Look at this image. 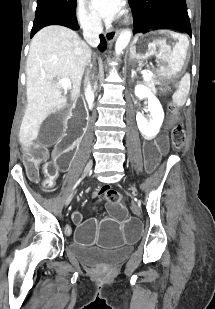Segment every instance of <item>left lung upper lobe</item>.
<instances>
[{
    "instance_id": "5c2ea615",
    "label": "left lung upper lobe",
    "mask_w": 215,
    "mask_h": 309,
    "mask_svg": "<svg viewBox=\"0 0 215 309\" xmlns=\"http://www.w3.org/2000/svg\"><path fill=\"white\" fill-rule=\"evenodd\" d=\"M134 17V32L152 28L183 30L191 36L185 0H129Z\"/></svg>"
}]
</instances>
